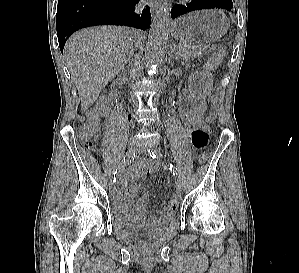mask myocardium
<instances>
[{"label":"myocardium","mask_w":299,"mask_h":273,"mask_svg":"<svg viewBox=\"0 0 299 273\" xmlns=\"http://www.w3.org/2000/svg\"><path fill=\"white\" fill-rule=\"evenodd\" d=\"M180 1H182V2H186V1H189V0H180Z\"/></svg>","instance_id":"obj_1"}]
</instances>
